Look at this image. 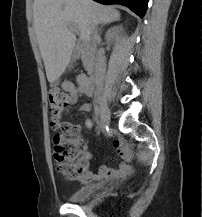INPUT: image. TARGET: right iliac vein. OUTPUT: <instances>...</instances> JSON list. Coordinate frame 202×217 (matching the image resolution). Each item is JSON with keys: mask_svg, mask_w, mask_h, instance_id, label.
Here are the masks:
<instances>
[{"mask_svg": "<svg viewBox=\"0 0 202 217\" xmlns=\"http://www.w3.org/2000/svg\"><path fill=\"white\" fill-rule=\"evenodd\" d=\"M98 103L100 106L101 124L106 127L110 123V111L105 98L101 95L98 96Z\"/></svg>", "mask_w": 202, "mask_h": 217, "instance_id": "obj_1", "label": "right iliac vein"}]
</instances>
